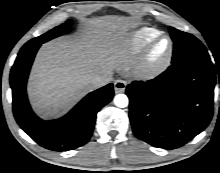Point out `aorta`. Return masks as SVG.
I'll list each match as a JSON object with an SVG mask.
<instances>
[{
    "label": "aorta",
    "mask_w": 220,
    "mask_h": 173,
    "mask_svg": "<svg viewBox=\"0 0 220 173\" xmlns=\"http://www.w3.org/2000/svg\"><path fill=\"white\" fill-rule=\"evenodd\" d=\"M129 103L128 97L125 94H118L114 98V104L117 107L124 108L127 107Z\"/></svg>",
    "instance_id": "aorta-1"
}]
</instances>
